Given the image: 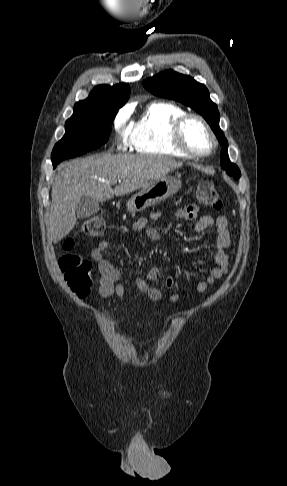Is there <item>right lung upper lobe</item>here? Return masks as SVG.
Segmentation results:
<instances>
[{"label": "right lung upper lobe", "instance_id": "obj_1", "mask_svg": "<svg viewBox=\"0 0 287 486\" xmlns=\"http://www.w3.org/2000/svg\"><path fill=\"white\" fill-rule=\"evenodd\" d=\"M129 95L128 84L99 85L93 89L87 99L77 102L74 109L102 108L118 111L127 102Z\"/></svg>", "mask_w": 287, "mask_h": 486}]
</instances>
